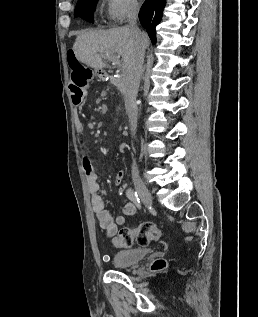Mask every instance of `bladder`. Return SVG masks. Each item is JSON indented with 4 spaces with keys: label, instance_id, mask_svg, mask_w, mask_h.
Listing matches in <instances>:
<instances>
[{
    "label": "bladder",
    "instance_id": "31cf9c89",
    "mask_svg": "<svg viewBox=\"0 0 258 317\" xmlns=\"http://www.w3.org/2000/svg\"><path fill=\"white\" fill-rule=\"evenodd\" d=\"M150 248H131L120 250L113 255V264L117 268H128L141 262L149 253Z\"/></svg>",
    "mask_w": 258,
    "mask_h": 317
}]
</instances>
